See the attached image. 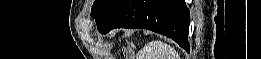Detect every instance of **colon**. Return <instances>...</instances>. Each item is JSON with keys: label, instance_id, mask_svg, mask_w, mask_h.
I'll list each match as a JSON object with an SVG mask.
<instances>
[{"label": "colon", "instance_id": "colon-1", "mask_svg": "<svg viewBox=\"0 0 261 59\" xmlns=\"http://www.w3.org/2000/svg\"><path fill=\"white\" fill-rule=\"evenodd\" d=\"M124 52H125V55H126L127 58H133V55H132L131 50H130L129 47H126L124 49Z\"/></svg>", "mask_w": 261, "mask_h": 59}]
</instances>
